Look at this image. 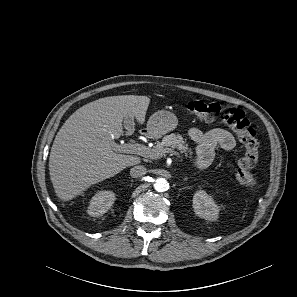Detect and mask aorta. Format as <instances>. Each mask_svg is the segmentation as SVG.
Segmentation results:
<instances>
[{
	"instance_id": "1",
	"label": "aorta",
	"mask_w": 297,
	"mask_h": 297,
	"mask_svg": "<svg viewBox=\"0 0 297 297\" xmlns=\"http://www.w3.org/2000/svg\"><path fill=\"white\" fill-rule=\"evenodd\" d=\"M154 188L158 192H164L168 189V182L165 178H157L154 182Z\"/></svg>"
}]
</instances>
